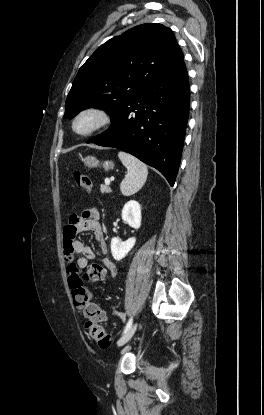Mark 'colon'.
<instances>
[{
	"mask_svg": "<svg viewBox=\"0 0 264 415\" xmlns=\"http://www.w3.org/2000/svg\"><path fill=\"white\" fill-rule=\"evenodd\" d=\"M73 178L77 187L83 191L90 192L92 183L87 175L80 171L73 172ZM104 278V269L98 264L89 265L83 274L72 264L67 271L68 287L74 303L83 310L86 326L90 330L91 336L100 348H107L111 343L110 336L101 326L103 313L100 308L91 301L90 293L85 288V281L99 282Z\"/></svg>",
	"mask_w": 264,
	"mask_h": 415,
	"instance_id": "colon-1",
	"label": "colon"
}]
</instances>
